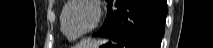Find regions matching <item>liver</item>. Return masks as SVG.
Listing matches in <instances>:
<instances>
[{
    "label": "liver",
    "mask_w": 213,
    "mask_h": 48,
    "mask_svg": "<svg viewBox=\"0 0 213 48\" xmlns=\"http://www.w3.org/2000/svg\"><path fill=\"white\" fill-rule=\"evenodd\" d=\"M96 42H92V41H90V40H85V41H83L81 44H80V46H81V48H86V47H89V46H91V45H93V44H95Z\"/></svg>",
    "instance_id": "obj_1"
}]
</instances>
